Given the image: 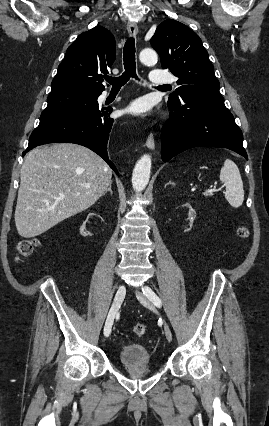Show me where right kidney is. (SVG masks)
Returning <instances> with one entry per match:
<instances>
[{
    "label": "right kidney",
    "mask_w": 269,
    "mask_h": 426,
    "mask_svg": "<svg viewBox=\"0 0 269 426\" xmlns=\"http://www.w3.org/2000/svg\"><path fill=\"white\" fill-rule=\"evenodd\" d=\"M95 214L94 213H90L89 215H88V217H85V222L83 223V225L80 227V233L82 234V235H84V236H86L87 238H92L94 235L92 234V233H94V231L95 230H97V229H102V224H97V223H86V222H90V221H93V216H94ZM99 220L100 221H103L104 220V217L103 216H100L99 217ZM95 229V230H94ZM91 233V234H90Z\"/></svg>",
    "instance_id": "obj_1"
}]
</instances>
